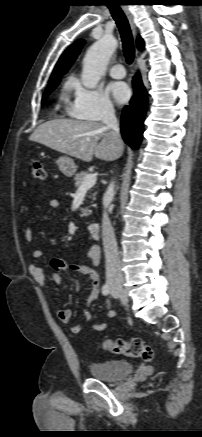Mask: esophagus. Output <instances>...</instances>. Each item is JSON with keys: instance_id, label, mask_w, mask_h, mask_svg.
<instances>
[{"instance_id": "obj_1", "label": "esophagus", "mask_w": 202, "mask_h": 437, "mask_svg": "<svg viewBox=\"0 0 202 437\" xmlns=\"http://www.w3.org/2000/svg\"><path fill=\"white\" fill-rule=\"evenodd\" d=\"M122 8H123V11H124L125 15H126L127 18H128V21H129V23H130V26H131V28H132V31H133V33H134V35H135V34H136V27H135V23H134L133 15L131 14V12H130V10H129L128 7L123 6Z\"/></svg>"}]
</instances>
